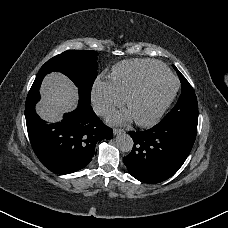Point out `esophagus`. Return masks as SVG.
<instances>
[{"mask_svg":"<svg viewBox=\"0 0 228 228\" xmlns=\"http://www.w3.org/2000/svg\"><path fill=\"white\" fill-rule=\"evenodd\" d=\"M113 133H114V135H118L120 133H124V129H122V128H115V129H113Z\"/></svg>","mask_w":228,"mask_h":228,"instance_id":"34e87169","label":"esophagus"}]
</instances>
